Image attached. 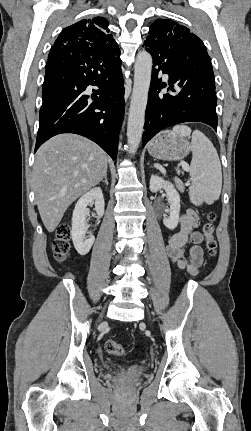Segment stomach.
<instances>
[{"label": "stomach", "instance_id": "0dacf381", "mask_svg": "<svg viewBox=\"0 0 251 431\" xmlns=\"http://www.w3.org/2000/svg\"><path fill=\"white\" fill-rule=\"evenodd\" d=\"M191 150V143L183 136L163 131L148 145L151 156L161 160L175 161L186 157Z\"/></svg>", "mask_w": 251, "mask_h": 431}]
</instances>
